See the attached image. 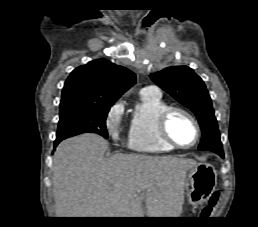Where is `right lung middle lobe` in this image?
Here are the masks:
<instances>
[{
    "instance_id": "dd1d6c3e",
    "label": "right lung middle lobe",
    "mask_w": 258,
    "mask_h": 227,
    "mask_svg": "<svg viewBox=\"0 0 258 227\" xmlns=\"http://www.w3.org/2000/svg\"><path fill=\"white\" fill-rule=\"evenodd\" d=\"M111 106L79 99L61 100L56 139L63 140L82 133H96L107 138L105 121Z\"/></svg>"
}]
</instances>
